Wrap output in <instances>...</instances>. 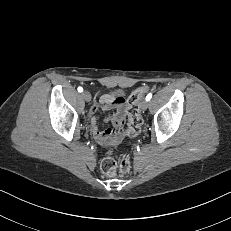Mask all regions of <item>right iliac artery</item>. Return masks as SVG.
I'll return each mask as SVG.
<instances>
[{"mask_svg":"<svg viewBox=\"0 0 231 231\" xmlns=\"http://www.w3.org/2000/svg\"><path fill=\"white\" fill-rule=\"evenodd\" d=\"M78 91H79V92H82V91H83V88H82V87H78Z\"/></svg>","mask_w":231,"mask_h":231,"instance_id":"obj_1","label":"right iliac artery"}]
</instances>
